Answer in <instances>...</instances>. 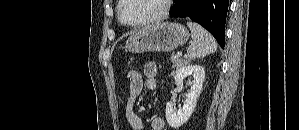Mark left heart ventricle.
Returning <instances> with one entry per match:
<instances>
[{"label": "left heart ventricle", "instance_id": "b2bd125f", "mask_svg": "<svg viewBox=\"0 0 299 130\" xmlns=\"http://www.w3.org/2000/svg\"><path fill=\"white\" fill-rule=\"evenodd\" d=\"M162 0H128L122 9V18L135 23L153 17L162 9Z\"/></svg>", "mask_w": 299, "mask_h": 130}]
</instances>
